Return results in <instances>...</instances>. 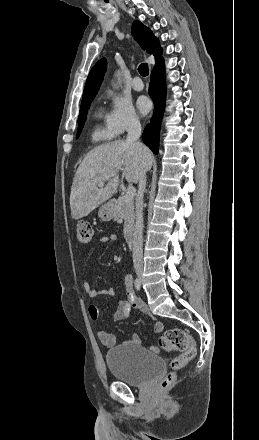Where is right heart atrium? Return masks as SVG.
<instances>
[{
    "label": "right heart atrium",
    "instance_id": "obj_1",
    "mask_svg": "<svg viewBox=\"0 0 259 440\" xmlns=\"http://www.w3.org/2000/svg\"><path fill=\"white\" fill-rule=\"evenodd\" d=\"M109 99L111 108L106 115V124L114 136L122 135L140 125L139 116L128 99L115 94H110Z\"/></svg>",
    "mask_w": 259,
    "mask_h": 440
}]
</instances>
